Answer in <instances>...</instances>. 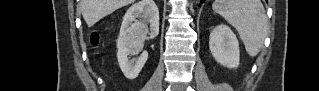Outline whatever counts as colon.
Returning a JSON list of instances; mask_svg holds the SVG:
<instances>
[{"mask_svg":"<svg viewBox=\"0 0 319 91\" xmlns=\"http://www.w3.org/2000/svg\"><path fill=\"white\" fill-rule=\"evenodd\" d=\"M90 39L91 42L96 45L99 42V34L97 32H93Z\"/></svg>","mask_w":319,"mask_h":91,"instance_id":"obj_1","label":"colon"}]
</instances>
